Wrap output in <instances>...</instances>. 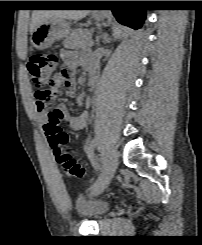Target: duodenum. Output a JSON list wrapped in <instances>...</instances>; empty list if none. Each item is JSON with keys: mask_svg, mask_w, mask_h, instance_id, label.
Segmentation results:
<instances>
[{"mask_svg": "<svg viewBox=\"0 0 202 245\" xmlns=\"http://www.w3.org/2000/svg\"><path fill=\"white\" fill-rule=\"evenodd\" d=\"M88 75L90 79H94L95 77V70L92 67H88L87 69Z\"/></svg>", "mask_w": 202, "mask_h": 245, "instance_id": "obj_1", "label": "duodenum"}]
</instances>
